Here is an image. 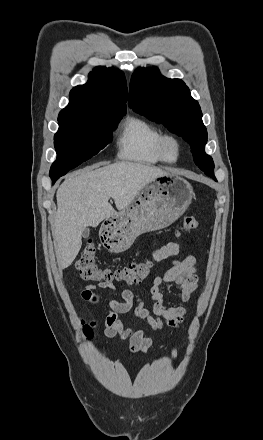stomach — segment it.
Instances as JSON below:
<instances>
[{
  "label": "stomach",
  "instance_id": "1",
  "mask_svg": "<svg viewBox=\"0 0 263 440\" xmlns=\"http://www.w3.org/2000/svg\"><path fill=\"white\" fill-rule=\"evenodd\" d=\"M193 197L191 185L178 175L153 179L122 211L104 220L100 229L104 245L113 253L126 251L139 235L171 225Z\"/></svg>",
  "mask_w": 263,
  "mask_h": 440
}]
</instances>
